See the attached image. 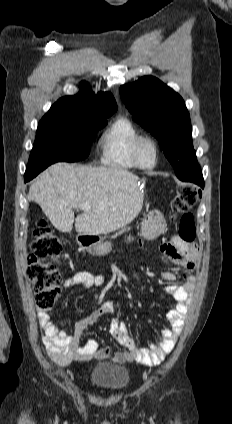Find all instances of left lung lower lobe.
Listing matches in <instances>:
<instances>
[{"label":"left lung lower lobe","mask_w":232,"mask_h":424,"mask_svg":"<svg viewBox=\"0 0 232 424\" xmlns=\"http://www.w3.org/2000/svg\"><path fill=\"white\" fill-rule=\"evenodd\" d=\"M182 181H190L195 184H198L202 188L204 187V180L200 169L194 172L193 174L185 177Z\"/></svg>","instance_id":"1"}]
</instances>
